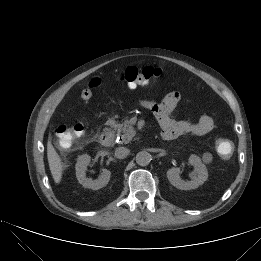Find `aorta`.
Returning <instances> with one entry per match:
<instances>
[{"mask_svg":"<svg viewBox=\"0 0 261 261\" xmlns=\"http://www.w3.org/2000/svg\"><path fill=\"white\" fill-rule=\"evenodd\" d=\"M136 163L140 166H147L151 161V155L147 151H140L136 154Z\"/></svg>","mask_w":261,"mask_h":261,"instance_id":"aorta-1","label":"aorta"}]
</instances>
